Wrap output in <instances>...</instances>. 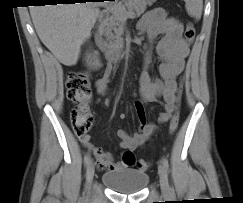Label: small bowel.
I'll use <instances>...</instances> for the list:
<instances>
[{
    "label": "small bowel",
    "mask_w": 243,
    "mask_h": 203,
    "mask_svg": "<svg viewBox=\"0 0 243 203\" xmlns=\"http://www.w3.org/2000/svg\"><path fill=\"white\" fill-rule=\"evenodd\" d=\"M138 31L147 35L149 46L144 54V69L140 75L142 99L134 103L139 120L138 131L130 134L119 129L117 135L120 147L134 151L143 145L156 131L157 125L149 120L145 104L159 103L163 111L159 114L160 124L166 123L176 109L177 78L183 72L189 47L182 37V25L174 17H169L163 9L156 8L148 11L138 23ZM158 36H162L157 42ZM159 60L158 72L160 77H154L149 71L153 57ZM112 65L108 64L101 78L96 82L97 92L104 97L103 106L107 107L110 100L107 97L108 84L112 75ZM125 114L120 119H125ZM85 148L96 158L98 169L114 170L123 168V162H115L112 154L103 152L89 141L87 136L80 137Z\"/></svg>",
    "instance_id": "c3829d8e"
}]
</instances>
